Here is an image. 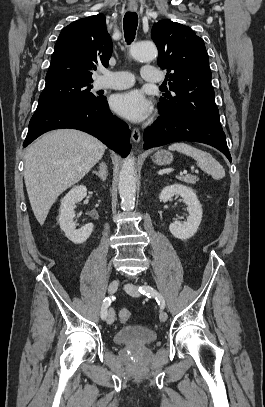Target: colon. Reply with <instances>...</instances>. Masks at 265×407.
Wrapping results in <instances>:
<instances>
[{"label":"colon","mask_w":265,"mask_h":407,"mask_svg":"<svg viewBox=\"0 0 265 407\" xmlns=\"http://www.w3.org/2000/svg\"><path fill=\"white\" fill-rule=\"evenodd\" d=\"M132 314L129 310L123 309L119 313V318L122 323H127L130 321Z\"/></svg>","instance_id":"obj_1"}]
</instances>
